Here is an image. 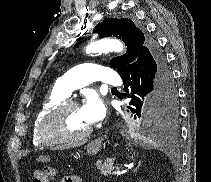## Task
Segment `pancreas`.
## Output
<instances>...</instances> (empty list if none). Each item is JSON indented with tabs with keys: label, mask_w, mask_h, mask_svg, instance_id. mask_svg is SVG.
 Returning a JSON list of instances; mask_svg holds the SVG:
<instances>
[{
	"label": "pancreas",
	"mask_w": 211,
	"mask_h": 182,
	"mask_svg": "<svg viewBox=\"0 0 211 182\" xmlns=\"http://www.w3.org/2000/svg\"><path fill=\"white\" fill-rule=\"evenodd\" d=\"M113 162L114 159H106L104 163L102 160H98L96 166L102 175L108 176L113 171Z\"/></svg>",
	"instance_id": "1"
}]
</instances>
